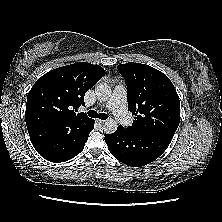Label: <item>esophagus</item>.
<instances>
[{
	"mask_svg": "<svg viewBox=\"0 0 222 222\" xmlns=\"http://www.w3.org/2000/svg\"><path fill=\"white\" fill-rule=\"evenodd\" d=\"M97 122H98L100 125H103V124L105 123L104 120H100V119H98Z\"/></svg>",
	"mask_w": 222,
	"mask_h": 222,
	"instance_id": "34e87169",
	"label": "esophagus"
}]
</instances>
